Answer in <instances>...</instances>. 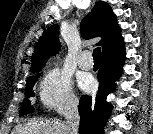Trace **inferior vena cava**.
<instances>
[{"label": "inferior vena cava", "instance_id": "602c4592", "mask_svg": "<svg viewBox=\"0 0 153 134\" xmlns=\"http://www.w3.org/2000/svg\"><path fill=\"white\" fill-rule=\"evenodd\" d=\"M65 134H78L79 127V112H78V101L71 102L67 110L65 111Z\"/></svg>", "mask_w": 153, "mask_h": 134}]
</instances>
